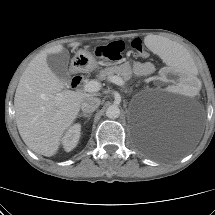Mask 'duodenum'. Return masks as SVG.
<instances>
[{
  "instance_id": "1",
  "label": "duodenum",
  "mask_w": 215,
  "mask_h": 215,
  "mask_svg": "<svg viewBox=\"0 0 215 215\" xmlns=\"http://www.w3.org/2000/svg\"><path fill=\"white\" fill-rule=\"evenodd\" d=\"M82 80L83 78L80 75L75 74L72 78V85L76 87L81 84Z\"/></svg>"
}]
</instances>
